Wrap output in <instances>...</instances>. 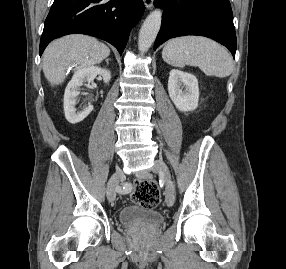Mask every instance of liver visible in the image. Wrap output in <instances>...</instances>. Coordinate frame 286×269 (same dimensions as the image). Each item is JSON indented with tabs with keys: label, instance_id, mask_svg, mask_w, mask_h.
<instances>
[{
	"label": "liver",
	"instance_id": "6515ba94",
	"mask_svg": "<svg viewBox=\"0 0 286 269\" xmlns=\"http://www.w3.org/2000/svg\"><path fill=\"white\" fill-rule=\"evenodd\" d=\"M110 49L93 37L69 35L53 41L43 56V73L51 85L61 84L66 69L76 65V70L101 63Z\"/></svg>",
	"mask_w": 286,
	"mask_h": 269
}]
</instances>
